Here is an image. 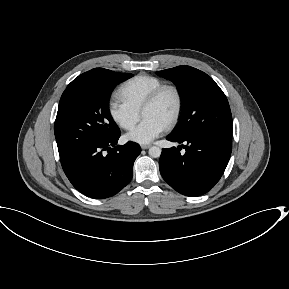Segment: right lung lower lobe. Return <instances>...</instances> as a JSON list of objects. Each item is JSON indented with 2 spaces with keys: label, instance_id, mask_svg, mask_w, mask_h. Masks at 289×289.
<instances>
[{
  "label": "right lung lower lobe",
  "instance_id": "98d812e1",
  "mask_svg": "<svg viewBox=\"0 0 289 289\" xmlns=\"http://www.w3.org/2000/svg\"><path fill=\"white\" fill-rule=\"evenodd\" d=\"M119 137L120 132L61 158L67 178L82 194L94 199L107 198L130 183L133 164L141 148L134 142L117 145Z\"/></svg>",
  "mask_w": 289,
  "mask_h": 289
}]
</instances>
